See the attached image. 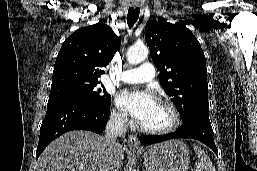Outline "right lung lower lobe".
Instances as JSON below:
<instances>
[{"label": "right lung lower lobe", "mask_w": 257, "mask_h": 171, "mask_svg": "<svg viewBox=\"0 0 257 171\" xmlns=\"http://www.w3.org/2000/svg\"><path fill=\"white\" fill-rule=\"evenodd\" d=\"M110 104L98 106L81 98L49 100L47 112L40 128L36 159L47 145L71 130H89L102 133L108 121Z\"/></svg>", "instance_id": "98d812e1"}]
</instances>
